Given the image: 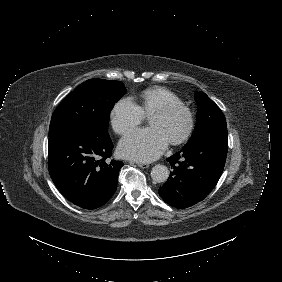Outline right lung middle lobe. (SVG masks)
Listing matches in <instances>:
<instances>
[{"instance_id":"right-lung-middle-lobe-1","label":"right lung middle lobe","mask_w":282,"mask_h":282,"mask_svg":"<svg viewBox=\"0 0 282 282\" xmlns=\"http://www.w3.org/2000/svg\"><path fill=\"white\" fill-rule=\"evenodd\" d=\"M120 81L90 79L76 87L53 113L49 136L76 126L108 135L110 111L125 94Z\"/></svg>"}]
</instances>
